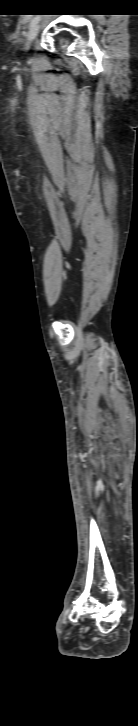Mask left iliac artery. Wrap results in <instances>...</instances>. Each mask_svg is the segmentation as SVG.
Segmentation results:
<instances>
[{"label":"left iliac artery","instance_id":"1","mask_svg":"<svg viewBox=\"0 0 138 726\" xmlns=\"http://www.w3.org/2000/svg\"><path fill=\"white\" fill-rule=\"evenodd\" d=\"M39 20H40V17H39V16H34V17H33V18L31 19V23H30V24H31V26H32V25H34V24H36V23H38V22H39Z\"/></svg>","mask_w":138,"mask_h":726}]
</instances>
